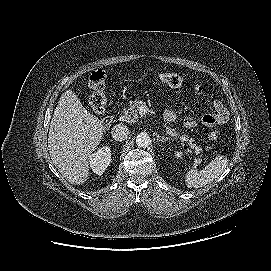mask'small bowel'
<instances>
[{
    "instance_id": "small-bowel-1",
    "label": "small bowel",
    "mask_w": 271,
    "mask_h": 271,
    "mask_svg": "<svg viewBox=\"0 0 271 271\" xmlns=\"http://www.w3.org/2000/svg\"><path fill=\"white\" fill-rule=\"evenodd\" d=\"M194 93L195 95H201L203 93V88L201 86H196L194 88ZM212 107V112L205 113L200 119H196L194 117L184 118L183 125L187 128H193L199 123L205 127H214L225 123L228 119V111L225 106L220 101L214 100ZM163 117L164 120L169 123L178 120V115L173 110H166Z\"/></svg>"
}]
</instances>
